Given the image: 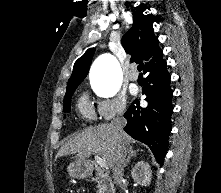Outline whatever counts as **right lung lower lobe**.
I'll return each instance as SVG.
<instances>
[{
	"mask_svg": "<svg viewBox=\"0 0 221 193\" xmlns=\"http://www.w3.org/2000/svg\"><path fill=\"white\" fill-rule=\"evenodd\" d=\"M142 93L148 102L146 108L136 100L128 108L124 117L127 125L124 130L134 139L149 146L158 163L162 164L168 147L173 112L170 74L166 63L147 73Z\"/></svg>",
	"mask_w": 221,
	"mask_h": 193,
	"instance_id": "obj_1",
	"label": "right lung lower lobe"
}]
</instances>
